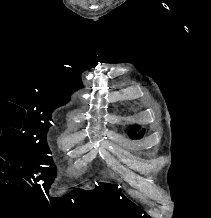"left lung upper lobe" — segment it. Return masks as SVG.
<instances>
[{
    "mask_svg": "<svg viewBox=\"0 0 211 218\" xmlns=\"http://www.w3.org/2000/svg\"><path fill=\"white\" fill-rule=\"evenodd\" d=\"M140 129V127H132L131 130L128 132V134L130 135L131 138H141L144 134V132L141 135L135 136L136 132Z\"/></svg>",
    "mask_w": 211,
    "mask_h": 218,
    "instance_id": "left-lung-upper-lobe-1",
    "label": "left lung upper lobe"
}]
</instances>
